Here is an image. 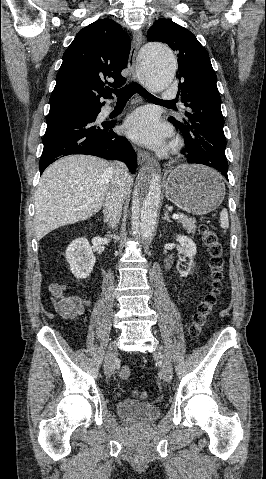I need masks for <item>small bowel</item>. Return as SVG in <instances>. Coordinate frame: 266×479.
<instances>
[{"label":"small bowel","instance_id":"c3829d8e","mask_svg":"<svg viewBox=\"0 0 266 479\" xmlns=\"http://www.w3.org/2000/svg\"><path fill=\"white\" fill-rule=\"evenodd\" d=\"M56 311L67 319L79 320L90 306V300L79 295H65L58 283L49 287Z\"/></svg>","mask_w":266,"mask_h":479}]
</instances>
